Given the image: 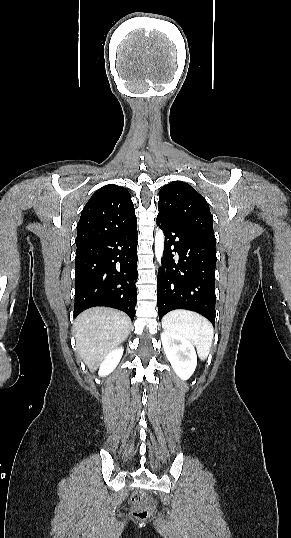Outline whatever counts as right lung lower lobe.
Returning <instances> with one entry per match:
<instances>
[{
  "label": "right lung lower lobe",
  "instance_id": "1",
  "mask_svg": "<svg viewBox=\"0 0 291 538\" xmlns=\"http://www.w3.org/2000/svg\"><path fill=\"white\" fill-rule=\"evenodd\" d=\"M136 225L77 247L74 316L94 306L124 311L133 319L137 281Z\"/></svg>",
  "mask_w": 291,
  "mask_h": 538
}]
</instances>
